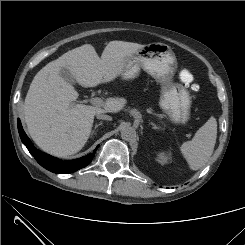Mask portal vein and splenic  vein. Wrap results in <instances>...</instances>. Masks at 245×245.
<instances>
[{"instance_id": "18ae733b", "label": "portal vein and splenic vein", "mask_w": 245, "mask_h": 245, "mask_svg": "<svg viewBox=\"0 0 245 245\" xmlns=\"http://www.w3.org/2000/svg\"><path fill=\"white\" fill-rule=\"evenodd\" d=\"M90 101L93 105L98 106V107H102L105 105V102L103 101V99L99 97H94Z\"/></svg>"}]
</instances>
